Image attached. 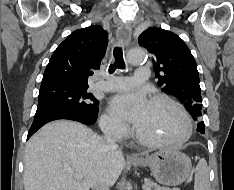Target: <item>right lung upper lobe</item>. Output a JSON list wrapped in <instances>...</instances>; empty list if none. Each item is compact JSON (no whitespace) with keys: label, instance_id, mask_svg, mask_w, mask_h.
Masks as SVG:
<instances>
[{"label":"right lung upper lobe","instance_id":"right-lung-upper-lobe-1","mask_svg":"<svg viewBox=\"0 0 234 190\" xmlns=\"http://www.w3.org/2000/svg\"><path fill=\"white\" fill-rule=\"evenodd\" d=\"M108 44V33L99 25L72 32L54 51L41 84L64 82L88 86L92 70L99 69Z\"/></svg>","mask_w":234,"mask_h":190}]
</instances>
